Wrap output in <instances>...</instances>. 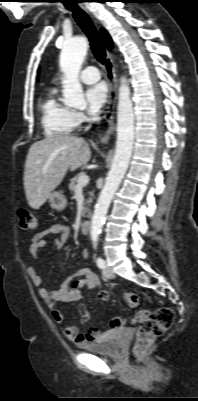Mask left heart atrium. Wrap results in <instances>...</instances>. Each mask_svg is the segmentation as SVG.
<instances>
[{
    "mask_svg": "<svg viewBox=\"0 0 198 401\" xmlns=\"http://www.w3.org/2000/svg\"><path fill=\"white\" fill-rule=\"evenodd\" d=\"M108 89L105 83H96L87 88L85 98L89 114H98L107 101Z\"/></svg>",
    "mask_w": 198,
    "mask_h": 401,
    "instance_id": "39dd6f15",
    "label": "left heart atrium"
}]
</instances>
